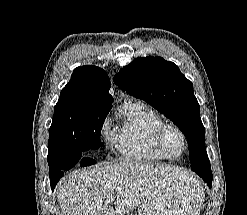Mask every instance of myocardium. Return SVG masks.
Listing matches in <instances>:
<instances>
[{"mask_svg": "<svg viewBox=\"0 0 247 215\" xmlns=\"http://www.w3.org/2000/svg\"><path fill=\"white\" fill-rule=\"evenodd\" d=\"M169 131H175L182 140V150L179 154H172L168 151L166 146V135ZM154 142L157 151L167 159H178L182 157L188 147L187 137L184 131L174 123L163 122L154 133Z\"/></svg>", "mask_w": 247, "mask_h": 215, "instance_id": "myocardium-1", "label": "myocardium"}]
</instances>
